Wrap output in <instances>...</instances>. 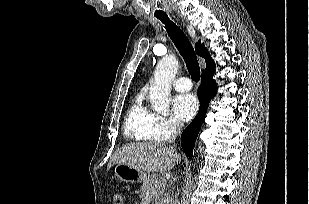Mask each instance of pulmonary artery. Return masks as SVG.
I'll list each match as a JSON object with an SVG mask.
<instances>
[{"label":"pulmonary artery","mask_w":309,"mask_h":204,"mask_svg":"<svg viewBox=\"0 0 309 204\" xmlns=\"http://www.w3.org/2000/svg\"><path fill=\"white\" fill-rule=\"evenodd\" d=\"M173 87L180 92L189 91L192 88V82L187 77H180L173 81Z\"/></svg>","instance_id":"e3ab8cb5"}]
</instances>
